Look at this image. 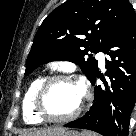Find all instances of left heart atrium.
Instances as JSON below:
<instances>
[{
    "label": "left heart atrium",
    "instance_id": "39dd6f15",
    "mask_svg": "<svg viewBox=\"0 0 136 136\" xmlns=\"http://www.w3.org/2000/svg\"><path fill=\"white\" fill-rule=\"evenodd\" d=\"M79 89H80L81 95H83V93H84V87H83L82 85H80V86H79Z\"/></svg>",
    "mask_w": 136,
    "mask_h": 136
}]
</instances>
